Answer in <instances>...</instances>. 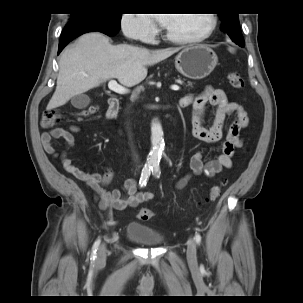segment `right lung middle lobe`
I'll return each instance as SVG.
<instances>
[{"label":"right lung middle lobe","instance_id":"right-lung-middle-lobe-1","mask_svg":"<svg viewBox=\"0 0 303 303\" xmlns=\"http://www.w3.org/2000/svg\"><path fill=\"white\" fill-rule=\"evenodd\" d=\"M120 13H105V12H83L78 14H71V19L68 24L82 20H103L110 23L120 24L121 22ZM67 24V25H68Z\"/></svg>","mask_w":303,"mask_h":303}]
</instances>
